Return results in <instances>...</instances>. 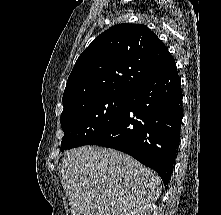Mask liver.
<instances>
[{"instance_id": "1", "label": "liver", "mask_w": 221, "mask_h": 215, "mask_svg": "<svg viewBox=\"0 0 221 215\" xmlns=\"http://www.w3.org/2000/svg\"><path fill=\"white\" fill-rule=\"evenodd\" d=\"M71 215H129L155 202L160 177L120 151L86 146L69 150L61 162Z\"/></svg>"}]
</instances>
